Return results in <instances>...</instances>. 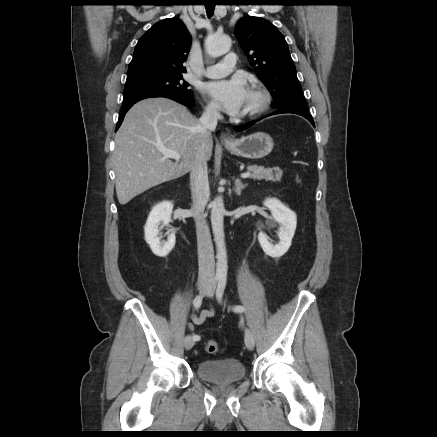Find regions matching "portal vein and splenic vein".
I'll return each mask as SVG.
<instances>
[{
	"label": "portal vein and splenic vein",
	"instance_id": "18ae733b",
	"mask_svg": "<svg viewBox=\"0 0 437 437\" xmlns=\"http://www.w3.org/2000/svg\"><path fill=\"white\" fill-rule=\"evenodd\" d=\"M160 151L167 158L175 159L177 161L180 159V154L178 152H176V151H172V150L166 149L164 147H161ZM250 175H251L250 172H246V173H242L241 177L242 178H248V177H250Z\"/></svg>",
	"mask_w": 437,
	"mask_h": 437
}]
</instances>
